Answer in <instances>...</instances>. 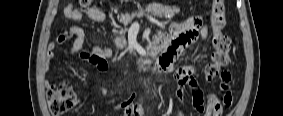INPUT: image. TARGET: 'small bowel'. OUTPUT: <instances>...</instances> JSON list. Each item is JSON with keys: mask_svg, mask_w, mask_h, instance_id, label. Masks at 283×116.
Wrapping results in <instances>:
<instances>
[{"mask_svg": "<svg viewBox=\"0 0 283 116\" xmlns=\"http://www.w3.org/2000/svg\"><path fill=\"white\" fill-rule=\"evenodd\" d=\"M64 15L72 21H81L84 18L91 19L95 22L103 23L107 20L106 14L97 9L90 8L85 12L75 9L72 5L65 7ZM207 36V29L203 25V18L201 15L191 16L181 25H172L168 34L163 36L164 42H169V47L162 54L158 61L157 68L163 72L172 71V61L176 53L189 45L194 40ZM73 38V43L69 50L68 55L81 52V58L84 61L91 62L96 65L98 71L105 72L107 70L106 60L111 57V50L102 47H93L89 50H84L85 46V32L82 27L78 25L70 26L64 33L60 34L57 39L49 44V54L63 45L67 40ZM171 60V61H170ZM196 67L187 66L174 72V77L178 83V90L176 91V100L180 108H182L184 89L189 88L193 99L194 112L190 115H204L209 116L207 112V105L204 103V94L199 87L195 77ZM220 88L224 92L223 99L230 98V83H225L220 79ZM76 88V83L73 82ZM135 96L131 95L128 99L120 104L124 116H144L147 115V110L140 104L134 103Z\"/></svg>", "mask_w": 283, "mask_h": 116, "instance_id": "obj_1", "label": "small bowel"}]
</instances>
